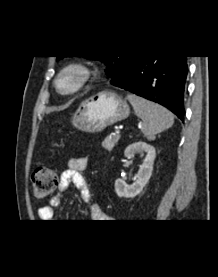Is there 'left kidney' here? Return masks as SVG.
I'll use <instances>...</instances> for the list:
<instances>
[{
  "label": "left kidney",
  "mask_w": 218,
  "mask_h": 277,
  "mask_svg": "<svg viewBox=\"0 0 218 277\" xmlns=\"http://www.w3.org/2000/svg\"><path fill=\"white\" fill-rule=\"evenodd\" d=\"M137 152H145L146 159L143 164L140 165L138 178L132 185H128L120 178L115 181V192L119 197L132 198L137 196L143 190L152 175L153 164L156 157L155 148L145 142L139 141L129 145L125 149L124 155L127 158H132Z\"/></svg>",
  "instance_id": "left-kidney-1"
}]
</instances>
